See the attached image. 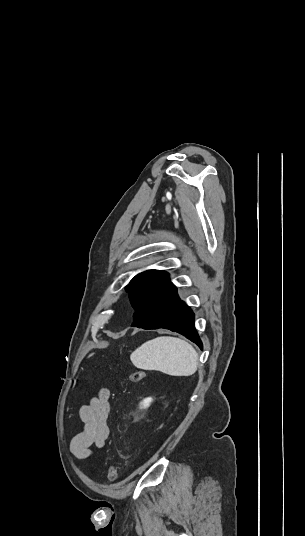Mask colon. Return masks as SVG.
<instances>
[{"mask_svg": "<svg viewBox=\"0 0 305 536\" xmlns=\"http://www.w3.org/2000/svg\"><path fill=\"white\" fill-rule=\"evenodd\" d=\"M129 379L132 383H139L143 379V372L139 369L134 370L130 375ZM118 472L114 464H111L108 468V478L110 481H115L117 479Z\"/></svg>", "mask_w": 305, "mask_h": 536, "instance_id": "1", "label": "colon"}]
</instances>
